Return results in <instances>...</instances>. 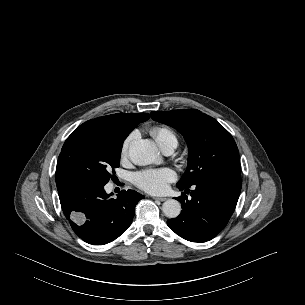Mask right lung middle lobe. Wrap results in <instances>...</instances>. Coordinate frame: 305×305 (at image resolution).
Instances as JSON below:
<instances>
[{
	"mask_svg": "<svg viewBox=\"0 0 305 305\" xmlns=\"http://www.w3.org/2000/svg\"><path fill=\"white\" fill-rule=\"evenodd\" d=\"M126 136L82 124L66 139L56 167V183L76 181L88 185L108 183Z\"/></svg>",
	"mask_w": 305,
	"mask_h": 305,
	"instance_id": "obj_1",
	"label": "right lung middle lobe"
}]
</instances>
